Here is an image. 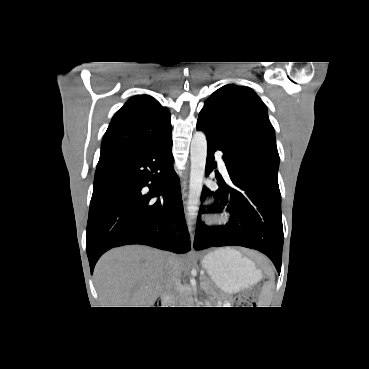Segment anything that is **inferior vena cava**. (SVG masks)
Instances as JSON below:
<instances>
[{
  "mask_svg": "<svg viewBox=\"0 0 369 369\" xmlns=\"http://www.w3.org/2000/svg\"><path fill=\"white\" fill-rule=\"evenodd\" d=\"M180 284V278L178 274V270L174 262L169 258L167 261V278L163 290V294L165 298L168 300H172L171 304H173L175 300V289Z\"/></svg>",
  "mask_w": 369,
  "mask_h": 369,
  "instance_id": "1",
  "label": "inferior vena cava"
}]
</instances>
